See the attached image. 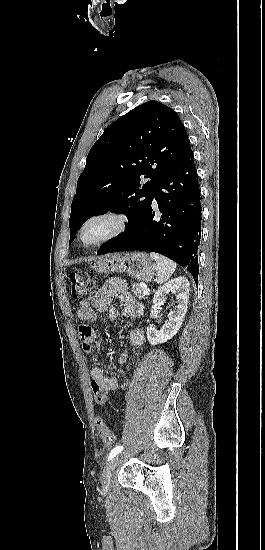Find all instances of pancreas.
Wrapping results in <instances>:
<instances>
[{
  "label": "pancreas",
  "mask_w": 265,
  "mask_h": 550,
  "mask_svg": "<svg viewBox=\"0 0 265 550\" xmlns=\"http://www.w3.org/2000/svg\"><path fill=\"white\" fill-rule=\"evenodd\" d=\"M131 292L138 298V299H145L146 295H144V288L141 287L138 283H133L131 285Z\"/></svg>",
  "instance_id": "obj_1"
}]
</instances>
